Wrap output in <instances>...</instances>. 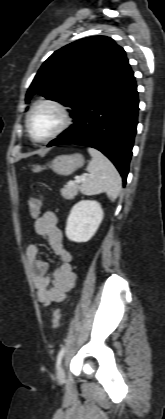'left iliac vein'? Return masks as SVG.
<instances>
[{
    "label": "left iliac vein",
    "instance_id": "left-iliac-vein-1",
    "mask_svg": "<svg viewBox=\"0 0 165 419\" xmlns=\"http://www.w3.org/2000/svg\"><path fill=\"white\" fill-rule=\"evenodd\" d=\"M64 377H65V372H64L63 366L61 365L59 370H58V378L63 379Z\"/></svg>",
    "mask_w": 165,
    "mask_h": 419
}]
</instances>
